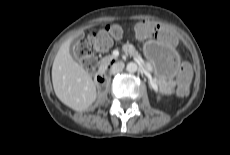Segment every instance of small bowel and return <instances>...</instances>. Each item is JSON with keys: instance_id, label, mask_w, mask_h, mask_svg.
<instances>
[{"instance_id": "obj_1", "label": "small bowel", "mask_w": 230, "mask_h": 155, "mask_svg": "<svg viewBox=\"0 0 230 155\" xmlns=\"http://www.w3.org/2000/svg\"><path fill=\"white\" fill-rule=\"evenodd\" d=\"M134 34L143 46H150L154 42V37H157L164 48H171L180 43V37L166 29L161 21L138 23L134 27Z\"/></svg>"}]
</instances>
